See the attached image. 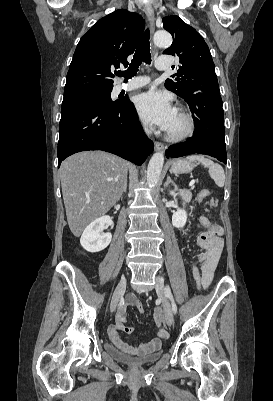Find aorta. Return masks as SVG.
Returning a JSON list of instances; mask_svg holds the SVG:
<instances>
[{
  "label": "aorta",
  "mask_w": 273,
  "mask_h": 401,
  "mask_svg": "<svg viewBox=\"0 0 273 401\" xmlns=\"http://www.w3.org/2000/svg\"><path fill=\"white\" fill-rule=\"evenodd\" d=\"M154 44L158 47H169L172 44V36L166 31H158L154 34ZM164 164V154L155 153L148 164L147 183L149 188H154L158 183Z\"/></svg>",
  "instance_id": "1"
}]
</instances>
